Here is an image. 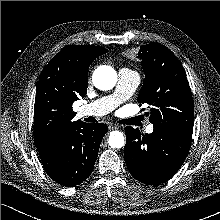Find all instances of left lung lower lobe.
I'll return each mask as SVG.
<instances>
[{"label": "left lung lower lobe", "instance_id": "left-lung-lower-lobe-1", "mask_svg": "<svg viewBox=\"0 0 220 220\" xmlns=\"http://www.w3.org/2000/svg\"><path fill=\"white\" fill-rule=\"evenodd\" d=\"M193 130L175 125L154 127L151 134L125 127L126 165L131 175L145 184H161L169 180L183 164L192 140Z\"/></svg>", "mask_w": 220, "mask_h": 220}]
</instances>
